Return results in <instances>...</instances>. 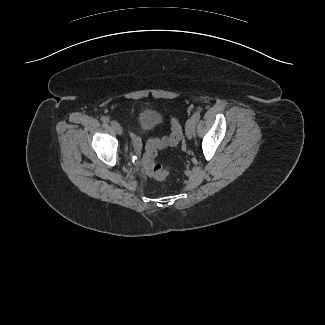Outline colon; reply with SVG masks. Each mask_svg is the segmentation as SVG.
Here are the masks:
<instances>
[{"mask_svg": "<svg viewBox=\"0 0 325 325\" xmlns=\"http://www.w3.org/2000/svg\"><path fill=\"white\" fill-rule=\"evenodd\" d=\"M171 133L161 139H151L148 141L143 154V163L147 173L158 180L166 178L169 174V168L156 164L154 159L158 150L177 145L183 136L182 127L177 117L171 118Z\"/></svg>", "mask_w": 325, "mask_h": 325, "instance_id": "colon-1", "label": "colon"}]
</instances>
